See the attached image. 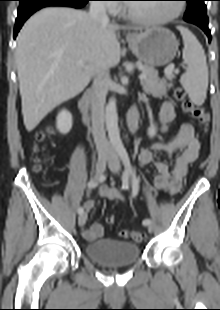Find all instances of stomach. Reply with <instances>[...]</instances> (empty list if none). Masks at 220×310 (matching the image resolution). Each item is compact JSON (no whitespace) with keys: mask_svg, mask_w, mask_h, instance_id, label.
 <instances>
[{"mask_svg":"<svg viewBox=\"0 0 220 310\" xmlns=\"http://www.w3.org/2000/svg\"><path fill=\"white\" fill-rule=\"evenodd\" d=\"M127 41L133 54L150 67L170 63L176 56L179 46L175 35L162 27L128 35Z\"/></svg>","mask_w":220,"mask_h":310,"instance_id":"stomach-1","label":"stomach"}]
</instances>
